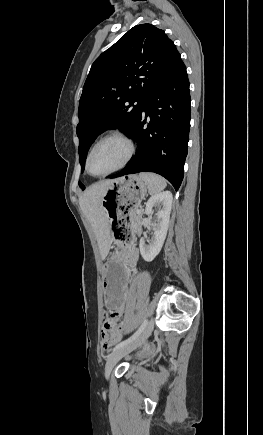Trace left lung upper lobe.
I'll return each instance as SVG.
<instances>
[{
	"mask_svg": "<svg viewBox=\"0 0 263 435\" xmlns=\"http://www.w3.org/2000/svg\"><path fill=\"white\" fill-rule=\"evenodd\" d=\"M180 61L172 40L151 24L134 26L95 60L79 103L81 172L91 144L104 130L118 127L131 135L147 98Z\"/></svg>",
	"mask_w": 263,
	"mask_h": 435,
	"instance_id": "obj_1",
	"label": "left lung upper lobe"
}]
</instances>
